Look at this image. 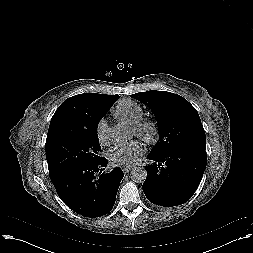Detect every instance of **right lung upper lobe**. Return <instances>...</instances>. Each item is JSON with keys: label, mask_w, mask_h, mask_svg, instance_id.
I'll use <instances>...</instances> for the list:
<instances>
[{"label": "right lung upper lobe", "mask_w": 253, "mask_h": 253, "mask_svg": "<svg viewBox=\"0 0 253 253\" xmlns=\"http://www.w3.org/2000/svg\"><path fill=\"white\" fill-rule=\"evenodd\" d=\"M117 97L118 95L85 93L66 99L54 113L47 136L61 126L88 124L99 112H107Z\"/></svg>", "instance_id": "1"}]
</instances>
